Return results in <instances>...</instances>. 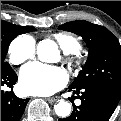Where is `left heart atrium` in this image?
Instances as JSON below:
<instances>
[{"label": "left heart atrium", "mask_w": 121, "mask_h": 121, "mask_svg": "<svg viewBox=\"0 0 121 121\" xmlns=\"http://www.w3.org/2000/svg\"><path fill=\"white\" fill-rule=\"evenodd\" d=\"M67 80L62 68L34 62L21 70L20 85L27 94L50 95L62 89Z\"/></svg>", "instance_id": "obj_1"}]
</instances>
